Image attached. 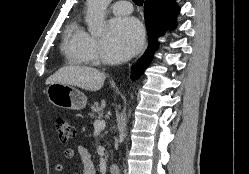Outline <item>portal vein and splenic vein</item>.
I'll return each mask as SVG.
<instances>
[{
  "label": "portal vein and splenic vein",
  "instance_id": "obj_1",
  "mask_svg": "<svg viewBox=\"0 0 249 174\" xmlns=\"http://www.w3.org/2000/svg\"><path fill=\"white\" fill-rule=\"evenodd\" d=\"M105 126H106V123H105L104 120H96L94 122V129L97 130V131L104 130Z\"/></svg>",
  "mask_w": 249,
  "mask_h": 174
}]
</instances>
